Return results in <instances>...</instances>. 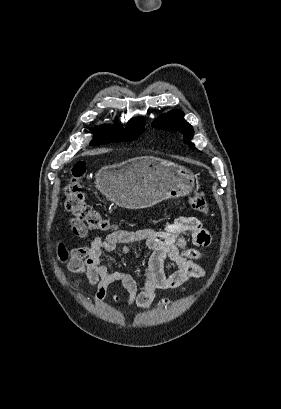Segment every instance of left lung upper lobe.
Returning <instances> with one entry per match:
<instances>
[{
	"label": "left lung upper lobe",
	"mask_w": 281,
	"mask_h": 409,
	"mask_svg": "<svg viewBox=\"0 0 281 409\" xmlns=\"http://www.w3.org/2000/svg\"><path fill=\"white\" fill-rule=\"evenodd\" d=\"M152 126L164 130H179L184 133V139L189 146L194 147V145L190 143L194 131L192 126L184 120V114L182 111L174 110L166 115H162L153 122Z\"/></svg>",
	"instance_id": "5c2ea615"
}]
</instances>
